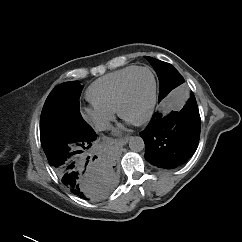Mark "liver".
Instances as JSON below:
<instances>
[{
	"instance_id": "6515ba94",
	"label": "liver",
	"mask_w": 242,
	"mask_h": 242,
	"mask_svg": "<svg viewBox=\"0 0 242 242\" xmlns=\"http://www.w3.org/2000/svg\"><path fill=\"white\" fill-rule=\"evenodd\" d=\"M91 199H99L100 197L98 196V194H93L92 197H90Z\"/></svg>"
}]
</instances>
